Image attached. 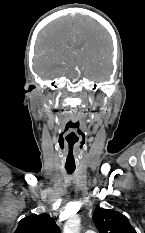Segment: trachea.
Returning a JSON list of instances; mask_svg holds the SVG:
<instances>
[{
    "label": "trachea",
    "instance_id": "3493384b",
    "mask_svg": "<svg viewBox=\"0 0 145 233\" xmlns=\"http://www.w3.org/2000/svg\"><path fill=\"white\" fill-rule=\"evenodd\" d=\"M65 169H66L68 174H72L74 172V170H75V167H72V168H67L66 167Z\"/></svg>",
    "mask_w": 145,
    "mask_h": 233
}]
</instances>
